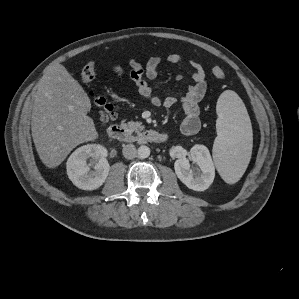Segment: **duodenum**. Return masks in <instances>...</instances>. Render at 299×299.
<instances>
[{
  "label": "duodenum",
  "mask_w": 299,
  "mask_h": 299,
  "mask_svg": "<svg viewBox=\"0 0 299 299\" xmlns=\"http://www.w3.org/2000/svg\"><path fill=\"white\" fill-rule=\"evenodd\" d=\"M108 136L121 142L149 141L163 143L167 141L168 134L162 131L147 130L139 135L131 134L126 128L118 124H112L107 129Z\"/></svg>",
  "instance_id": "duodenum-1"
}]
</instances>
